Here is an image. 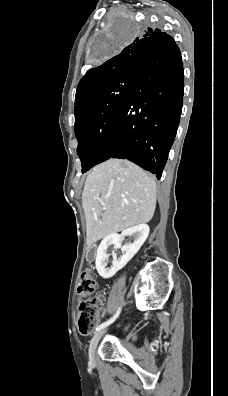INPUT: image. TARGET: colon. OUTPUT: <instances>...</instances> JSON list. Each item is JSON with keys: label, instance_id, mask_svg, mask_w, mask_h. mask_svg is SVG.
Masks as SVG:
<instances>
[{"label": "colon", "instance_id": "colon-1", "mask_svg": "<svg viewBox=\"0 0 228 396\" xmlns=\"http://www.w3.org/2000/svg\"><path fill=\"white\" fill-rule=\"evenodd\" d=\"M96 288V278L92 269L88 268L81 272L77 294L80 297L78 301V328L79 331L86 335L90 333L96 325L98 312L103 305V298L100 296L90 298Z\"/></svg>", "mask_w": 228, "mask_h": 396}]
</instances>
